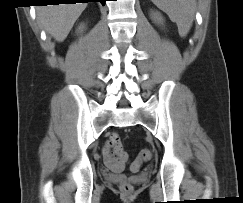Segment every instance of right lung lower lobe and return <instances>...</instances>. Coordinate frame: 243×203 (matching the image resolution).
<instances>
[{"mask_svg": "<svg viewBox=\"0 0 243 203\" xmlns=\"http://www.w3.org/2000/svg\"><path fill=\"white\" fill-rule=\"evenodd\" d=\"M46 1H50V0H41V2H39V4H36V5H44V4L46 5V3H45ZM57 1H59V2H55V3H69L70 4V3H76L77 1H84V3L101 2L104 5L106 0H57Z\"/></svg>", "mask_w": 243, "mask_h": 203, "instance_id": "right-lung-lower-lobe-1", "label": "right lung lower lobe"}]
</instances>
